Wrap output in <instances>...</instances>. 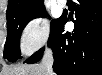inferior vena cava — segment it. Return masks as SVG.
I'll return each mask as SVG.
<instances>
[{
    "label": "inferior vena cava",
    "mask_w": 102,
    "mask_h": 75,
    "mask_svg": "<svg viewBox=\"0 0 102 75\" xmlns=\"http://www.w3.org/2000/svg\"><path fill=\"white\" fill-rule=\"evenodd\" d=\"M53 53L51 49H46L42 58V65L46 68L49 75H53Z\"/></svg>",
    "instance_id": "obj_1"
}]
</instances>
